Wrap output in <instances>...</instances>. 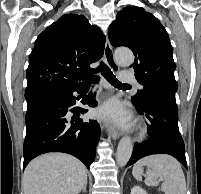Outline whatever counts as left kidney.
Listing matches in <instances>:
<instances>
[{"label": "left kidney", "mask_w": 201, "mask_h": 194, "mask_svg": "<svg viewBox=\"0 0 201 194\" xmlns=\"http://www.w3.org/2000/svg\"><path fill=\"white\" fill-rule=\"evenodd\" d=\"M130 194H148L144 189L139 186H134Z\"/></svg>", "instance_id": "obj_1"}]
</instances>
